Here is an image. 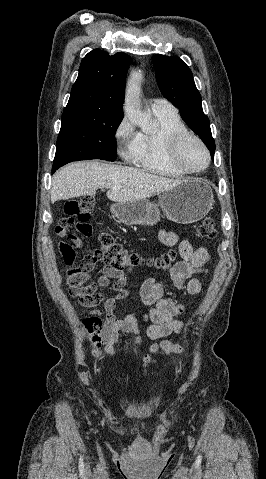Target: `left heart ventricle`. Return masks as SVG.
I'll return each mask as SVG.
<instances>
[{
	"label": "left heart ventricle",
	"mask_w": 266,
	"mask_h": 479,
	"mask_svg": "<svg viewBox=\"0 0 266 479\" xmlns=\"http://www.w3.org/2000/svg\"><path fill=\"white\" fill-rule=\"evenodd\" d=\"M180 158L190 169H198L205 165L206 156L202 148L193 140L187 141L181 148Z\"/></svg>",
	"instance_id": "left-heart-ventricle-1"
}]
</instances>
